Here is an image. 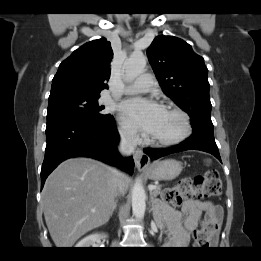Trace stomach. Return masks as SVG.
Returning <instances> with one entry per match:
<instances>
[{"label":"stomach","mask_w":261,"mask_h":261,"mask_svg":"<svg viewBox=\"0 0 261 261\" xmlns=\"http://www.w3.org/2000/svg\"><path fill=\"white\" fill-rule=\"evenodd\" d=\"M182 163L175 159H166L151 164L146 173L153 180H171L176 178L182 171Z\"/></svg>","instance_id":"0dacf381"}]
</instances>
